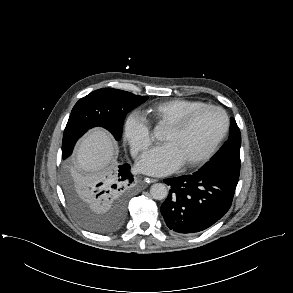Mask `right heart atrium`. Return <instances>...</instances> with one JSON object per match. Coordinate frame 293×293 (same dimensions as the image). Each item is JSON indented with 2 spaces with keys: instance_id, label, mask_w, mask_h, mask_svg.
<instances>
[{
  "instance_id": "d8ad5b80",
  "label": "right heart atrium",
  "mask_w": 293,
  "mask_h": 293,
  "mask_svg": "<svg viewBox=\"0 0 293 293\" xmlns=\"http://www.w3.org/2000/svg\"><path fill=\"white\" fill-rule=\"evenodd\" d=\"M122 136L134 156L147 150L154 141L150 124L138 111H132L125 117Z\"/></svg>"
}]
</instances>
